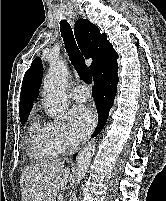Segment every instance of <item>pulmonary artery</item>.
Returning <instances> with one entry per match:
<instances>
[{"mask_svg": "<svg viewBox=\"0 0 166 201\" xmlns=\"http://www.w3.org/2000/svg\"><path fill=\"white\" fill-rule=\"evenodd\" d=\"M70 95L76 102H84L90 98L89 90L82 85L73 88Z\"/></svg>", "mask_w": 166, "mask_h": 201, "instance_id": "pulmonary-artery-1", "label": "pulmonary artery"}]
</instances>
